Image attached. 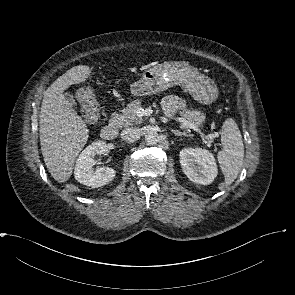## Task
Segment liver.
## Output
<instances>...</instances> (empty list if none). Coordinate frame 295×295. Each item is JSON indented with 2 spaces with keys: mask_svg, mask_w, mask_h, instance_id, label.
I'll use <instances>...</instances> for the list:
<instances>
[{
  "mask_svg": "<svg viewBox=\"0 0 295 295\" xmlns=\"http://www.w3.org/2000/svg\"><path fill=\"white\" fill-rule=\"evenodd\" d=\"M90 73L86 65L72 67L48 87L42 100L41 151L48 171L60 183L72 175L75 160L89 137L85 122L65 100L63 92L71 85L84 82Z\"/></svg>",
  "mask_w": 295,
  "mask_h": 295,
  "instance_id": "6515ba94",
  "label": "liver"
}]
</instances>
